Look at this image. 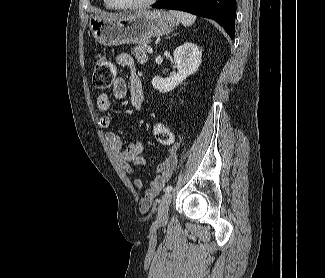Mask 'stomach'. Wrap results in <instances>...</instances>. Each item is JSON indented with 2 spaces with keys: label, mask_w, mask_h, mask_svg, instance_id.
I'll return each instance as SVG.
<instances>
[{
  "label": "stomach",
  "mask_w": 325,
  "mask_h": 278,
  "mask_svg": "<svg viewBox=\"0 0 325 278\" xmlns=\"http://www.w3.org/2000/svg\"><path fill=\"white\" fill-rule=\"evenodd\" d=\"M177 21L162 10H140L128 15H91L89 28L104 46L142 44L152 37L169 33Z\"/></svg>",
  "instance_id": "0dacf381"
}]
</instances>
